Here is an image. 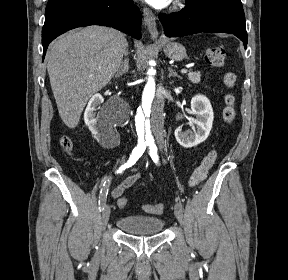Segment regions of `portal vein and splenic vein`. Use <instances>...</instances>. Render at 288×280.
<instances>
[{
  "instance_id": "obj_1",
  "label": "portal vein and splenic vein",
  "mask_w": 288,
  "mask_h": 280,
  "mask_svg": "<svg viewBox=\"0 0 288 280\" xmlns=\"http://www.w3.org/2000/svg\"><path fill=\"white\" fill-rule=\"evenodd\" d=\"M181 73H187V69H182Z\"/></svg>"
}]
</instances>
